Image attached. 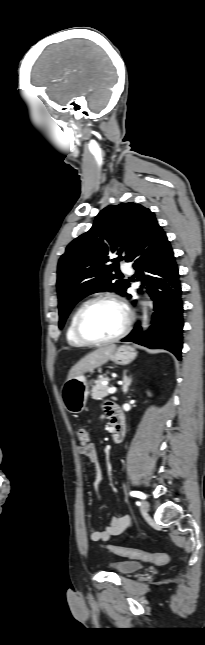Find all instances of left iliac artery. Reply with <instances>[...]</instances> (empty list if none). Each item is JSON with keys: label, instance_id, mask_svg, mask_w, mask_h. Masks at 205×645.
<instances>
[{"label": "left iliac artery", "instance_id": "44dca946", "mask_svg": "<svg viewBox=\"0 0 205 645\" xmlns=\"http://www.w3.org/2000/svg\"><path fill=\"white\" fill-rule=\"evenodd\" d=\"M130 495L141 499H145L146 497L142 492H139V491H132L130 492Z\"/></svg>", "mask_w": 205, "mask_h": 645}]
</instances>
